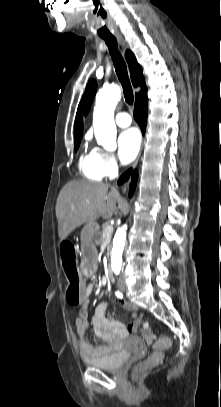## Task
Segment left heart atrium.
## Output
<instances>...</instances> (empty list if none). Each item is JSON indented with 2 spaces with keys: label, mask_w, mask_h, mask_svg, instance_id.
<instances>
[{
  "label": "left heart atrium",
  "mask_w": 221,
  "mask_h": 407,
  "mask_svg": "<svg viewBox=\"0 0 221 407\" xmlns=\"http://www.w3.org/2000/svg\"><path fill=\"white\" fill-rule=\"evenodd\" d=\"M140 149V134L130 128L123 131L118 138V154L123 163L132 162Z\"/></svg>",
  "instance_id": "1"
}]
</instances>
